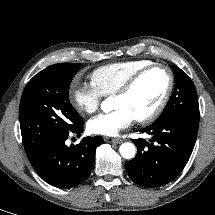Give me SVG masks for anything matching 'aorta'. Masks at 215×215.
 <instances>
[{
	"mask_svg": "<svg viewBox=\"0 0 215 215\" xmlns=\"http://www.w3.org/2000/svg\"><path fill=\"white\" fill-rule=\"evenodd\" d=\"M110 104L107 101H104L101 105V108L103 111H109L110 110ZM136 148L134 144L130 142L123 143L120 146V154L125 159H131L135 156Z\"/></svg>",
	"mask_w": 215,
	"mask_h": 215,
	"instance_id": "obj_1",
	"label": "aorta"
}]
</instances>
